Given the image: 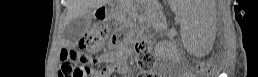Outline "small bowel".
I'll list each match as a JSON object with an SVG mask.
<instances>
[{
	"label": "small bowel",
	"mask_w": 258,
	"mask_h": 77,
	"mask_svg": "<svg viewBox=\"0 0 258 77\" xmlns=\"http://www.w3.org/2000/svg\"><path fill=\"white\" fill-rule=\"evenodd\" d=\"M124 53L118 52V53H107L103 57V61L106 63L107 67L105 68V71L103 73H98L97 76H105L109 72H121L124 70Z\"/></svg>",
	"instance_id": "small-bowel-1"
}]
</instances>
